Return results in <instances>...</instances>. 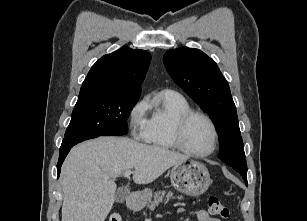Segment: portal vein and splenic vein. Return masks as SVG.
<instances>
[{
  "mask_svg": "<svg viewBox=\"0 0 307 221\" xmlns=\"http://www.w3.org/2000/svg\"><path fill=\"white\" fill-rule=\"evenodd\" d=\"M133 172L131 171V170H126L125 172H124V174H125V176H129V175H131Z\"/></svg>",
  "mask_w": 307,
  "mask_h": 221,
  "instance_id": "portal-vein-and-splenic-vein-1",
  "label": "portal vein and splenic vein"
}]
</instances>
